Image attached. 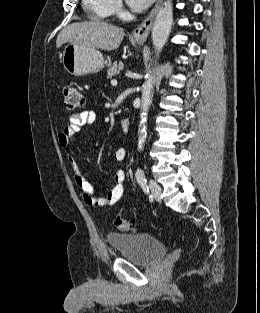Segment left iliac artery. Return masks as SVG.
<instances>
[{"label": "left iliac artery", "instance_id": "1", "mask_svg": "<svg viewBox=\"0 0 260 313\" xmlns=\"http://www.w3.org/2000/svg\"><path fill=\"white\" fill-rule=\"evenodd\" d=\"M136 179L143 191L148 194L149 193V187L147 184V179L145 177L144 171L141 168H138L136 171Z\"/></svg>", "mask_w": 260, "mask_h": 313}]
</instances>
